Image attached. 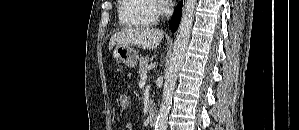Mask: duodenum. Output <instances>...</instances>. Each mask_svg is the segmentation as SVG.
<instances>
[{
    "mask_svg": "<svg viewBox=\"0 0 299 130\" xmlns=\"http://www.w3.org/2000/svg\"><path fill=\"white\" fill-rule=\"evenodd\" d=\"M148 123L151 126L156 125L157 123V113L154 110H150L148 114Z\"/></svg>",
    "mask_w": 299,
    "mask_h": 130,
    "instance_id": "duodenum-1",
    "label": "duodenum"
}]
</instances>
